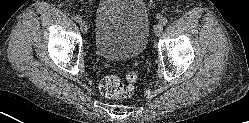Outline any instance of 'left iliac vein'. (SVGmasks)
Returning <instances> with one entry per match:
<instances>
[{"label":"left iliac vein","mask_w":249,"mask_h":123,"mask_svg":"<svg viewBox=\"0 0 249 123\" xmlns=\"http://www.w3.org/2000/svg\"><path fill=\"white\" fill-rule=\"evenodd\" d=\"M163 32V24L158 23L156 24L155 28H154V33L156 36H160Z\"/></svg>","instance_id":"obj_1"}]
</instances>
